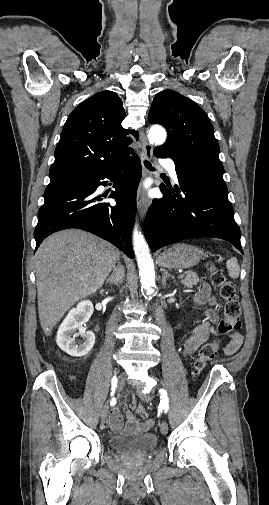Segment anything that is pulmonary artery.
Masks as SVG:
<instances>
[{
  "instance_id": "1",
  "label": "pulmonary artery",
  "mask_w": 269,
  "mask_h": 505,
  "mask_svg": "<svg viewBox=\"0 0 269 505\" xmlns=\"http://www.w3.org/2000/svg\"><path fill=\"white\" fill-rule=\"evenodd\" d=\"M161 164L168 171L170 177L173 180H177V172H176L175 164L170 160H163L161 162Z\"/></svg>"
}]
</instances>
